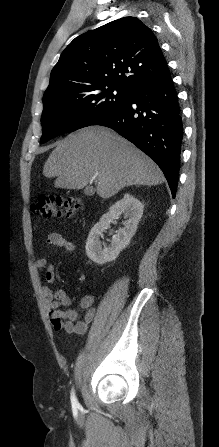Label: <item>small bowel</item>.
Segmentation results:
<instances>
[{
    "instance_id": "small-bowel-1",
    "label": "small bowel",
    "mask_w": 219,
    "mask_h": 447,
    "mask_svg": "<svg viewBox=\"0 0 219 447\" xmlns=\"http://www.w3.org/2000/svg\"><path fill=\"white\" fill-rule=\"evenodd\" d=\"M47 243L53 248L63 249L65 252L73 253L75 244L65 239L59 233H51L47 238ZM37 267L45 270V280L49 284H55L56 275L49 263L48 256H44L37 261ZM43 301L48 313L49 321L55 331L64 330L67 333L83 334L87 331L88 325L94 318V297L84 295L77 308H68L61 310V306H69L72 299L63 289L54 291L48 286L43 288ZM83 312V318L80 320V314Z\"/></svg>"
}]
</instances>
